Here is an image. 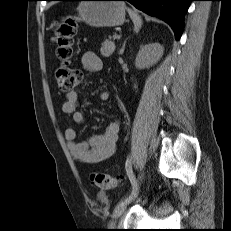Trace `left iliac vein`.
I'll return each instance as SVG.
<instances>
[{
	"instance_id": "left-iliac-vein-1",
	"label": "left iliac vein",
	"mask_w": 231,
	"mask_h": 231,
	"mask_svg": "<svg viewBox=\"0 0 231 231\" xmlns=\"http://www.w3.org/2000/svg\"><path fill=\"white\" fill-rule=\"evenodd\" d=\"M144 177V171L140 172V174L138 175V178L136 180V184H135V189L138 190L142 179ZM131 200H127V198H125L124 200L120 201L117 206L114 209L113 215H112V221L110 223V226H114L116 220L123 214L124 210L126 209L127 205L130 203Z\"/></svg>"
}]
</instances>
